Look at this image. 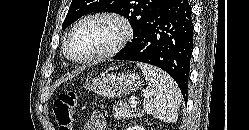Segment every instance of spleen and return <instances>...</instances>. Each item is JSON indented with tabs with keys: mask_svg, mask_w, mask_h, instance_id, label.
<instances>
[{
	"mask_svg": "<svg viewBox=\"0 0 249 130\" xmlns=\"http://www.w3.org/2000/svg\"><path fill=\"white\" fill-rule=\"evenodd\" d=\"M148 83L143 108L147 114L164 122H176L181 104V92L166 72L155 66L138 62Z\"/></svg>",
	"mask_w": 249,
	"mask_h": 130,
	"instance_id": "1",
	"label": "spleen"
}]
</instances>
